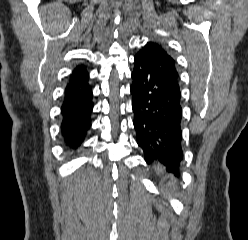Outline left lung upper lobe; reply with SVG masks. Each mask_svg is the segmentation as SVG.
Segmentation results:
<instances>
[{
  "instance_id": "obj_1",
  "label": "left lung upper lobe",
  "mask_w": 248,
  "mask_h": 240,
  "mask_svg": "<svg viewBox=\"0 0 248 240\" xmlns=\"http://www.w3.org/2000/svg\"><path fill=\"white\" fill-rule=\"evenodd\" d=\"M150 61L168 78L178 85L179 74L176 70L175 60L159 44L148 42L138 53Z\"/></svg>"
}]
</instances>
